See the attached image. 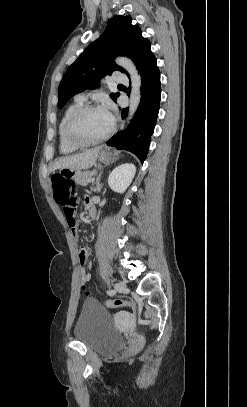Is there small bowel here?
Here are the masks:
<instances>
[{
  "label": "small bowel",
  "mask_w": 247,
  "mask_h": 407,
  "mask_svg": "<svg viewBox=\"0 0 247 407\" xmlns=\"http://www.w3.org/2000/svg\"><path fill=\"white\" fill-rule=\"evenodd\" d=\"M60 206L62 207L64 217L66 218L67 224L73 236L76 237L78 234L77 200L74 197H71L66 203L60 204ZM89 254L90 249L87 246L81 247L78 253V259L80 263L79 272L83 284H86L90 280V265H86Z\"/></svg>",
  "instance_id": "c3829d8e"
}]
</instances>
